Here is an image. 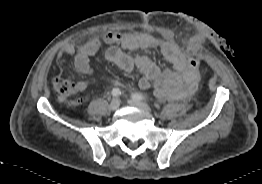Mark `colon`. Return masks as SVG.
Listing matches in <instances>:
<instances>
[{"instance_id": "1", "label": "colon", "mask_w": 262, "mask_h": 184, "mask_svg": "<svg viewBox=\"0 0 262 184\" xmlns=\"http://www.w3.org/2000/svg\"><path fill=\"white\" fill-rule=\"evenodd\" d=\"M186 66L191 74H200L202 62L194 54L193 50L188 51L186 55ZM53 87L60 97L65 100L70 99L78 90L77 84L68 77H56L53 80Z\"/></svg>"}]
</instances>
